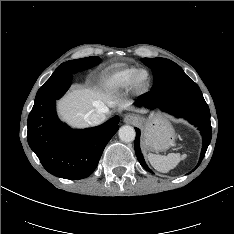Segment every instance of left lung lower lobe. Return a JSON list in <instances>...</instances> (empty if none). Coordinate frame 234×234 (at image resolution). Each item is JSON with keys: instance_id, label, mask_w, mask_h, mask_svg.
I'll return each mask as SVG.
<instances>
[{"instance_id": "0a47b994", "label": "left lung lower lobe", "mask_w": 234, "mask_h": 234, "mask_svg": "<svg viewBox=\"0 0 234 234\" xmlns=\"http://www.w3.org/2000/svg\"><path fill=\"white\" fill-rule=\"evenodd\" d=\"M135 105H143L151 109L159 107L176 117L187 119L190 123L198 127L203 136V147L200 160L195 167L196 169L205 156L211 141L212 132L209 108L198 85L188 76L174 80L160 88L151 89L150 92L139 96L135 101ZM135 130V153L137 159L147 171L152 172L146 165L140 150V130L138 128H135Z\"/></svg>"}]
</instances>
